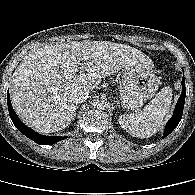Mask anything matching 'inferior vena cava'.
I'll list each match as a JSON object with an SVG mask.
<instances>
[{
	"instance_id": "1",
	"label": "inferior vena cava",
	"mask_w": 195,
	"mask_h": 195,
	"mask_svg": "<svg viewBox=\"0 0 195 195\" xmlns=\"http://www.w3.org/2000/svg\"><path fill=\"white\" fill-rule=\"evenodd\" d=\"M90 94V90L87 87H79L73 91V99L76 103L84 102Z\"/></svg>"
}]
</instances>
